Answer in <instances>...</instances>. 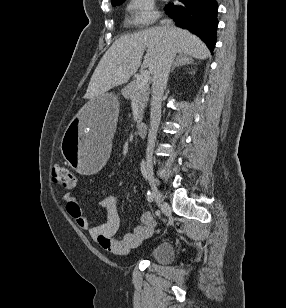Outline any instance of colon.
<instances>
[{
    "instance_id": "obj_1",
    "label": "colon",
    "mask_w": 286,
    "mask_h": 308,
    "mask_svg": "<svg viewBox=\"0 0 286 308\" xmlns=\"http://www.w3.org/2000/svg\"><path fill=\"white\" fill-rule=\"evenodd\" d=\"M52 181L55 185L72 189L76 185L74 172L64 166H57L52 169Z\"/></svg>"
}]
</instances>
